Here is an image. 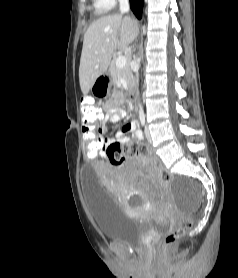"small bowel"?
<instances>
[{
    "label": "small bowel",
    "mask_w": 238,
    "mask_h": 278,
    "mask_svg": "<svg viewBox=\"0 0 238 278\" xmlns=\"http://www.w3.org/2000/svg\"><path fill=\"white\" fill-rule=\"evenodd\" d=\"M126 116L125 108L121 105L119 106H111L108 105L103 113V153H97L99 156L105 157L107 156V148L112 143H118L119 145L127 144L131 139L140 141L143 138V134L138 127V124L135 121H130L124 124L122 129L116 133L115 140L107 139L104 136L106 131V127L104 125L105 122L116 123L123 119ZM130 134V136L128 135ZM84 137V136H83ZM85 144V142H84Z\"/></svg>",
    "instance_id": "c3829d8e"
}]
</instances>
